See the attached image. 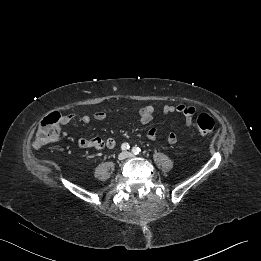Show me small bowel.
<instances>
[{
	"mask_svg": "<svg viewBox=\"0 0 261 261\" xmlns=\"http://www.w3.org/2000/svg\"><path fill=\"white\" fill-rule=\"evenodd\" d=\"M182 113L185 117V123L188 128H192L193 126V117L195 115V108L189 105L185 104H179V105H165L162 108V114L163 115H170L174 113ZM155 115V108L151 105L144 106L139 109V122L141 124H147L149 123ZM93 118L97 121H102L107 118V113L105 111H97L94 113ZM92 117L85 114L81 116L72 115L68 118L69 120H75L82 124H89L91 122ZM147 138L151 141H154L159 136V131L156 128H151L148 130L146 134ZM165 140L169 144H175L178 140L176 133L174 132H168L165 135ZM79 147L83 149H103L108 148L112 149L116 146V140L113 138H100V137H94V138H80L78 140Z\"/></svg>",
	"mask_w": 261,
	"mask_h": 261,
	"instance_id": "small-bowel-1",
	"label": "small bowel"
}]
</instances>
